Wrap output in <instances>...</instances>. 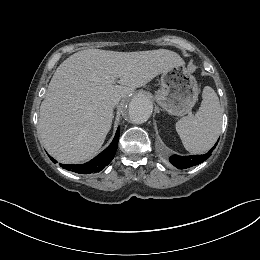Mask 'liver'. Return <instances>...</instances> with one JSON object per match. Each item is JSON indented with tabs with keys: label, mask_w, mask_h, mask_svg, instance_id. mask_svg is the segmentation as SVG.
Returning a JSON list of instances; mask_svg holds the SVG:
<instances>
[{
	"label": "liver",
	"mask_w": 260,
	"mask_h": 260,
	"mask_svg": "<svg viewBox=\"0 0 260 260\" xmlns=\"http://www.w3.org/2000/svg\"><path fill=\"white\" fill-rule=\"evenodd\" d=\"M184 65L177 53L166 49H87L73 54L55 71L40 106L41 142L63 163L90 159L111 128L116 101L157 75ZM118 78L120 85H113L111 81Z\"/></svg>",
	"instance_id": "obj_1"
}]
</instances>
